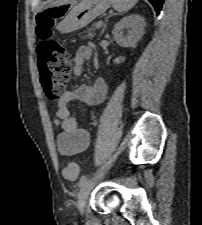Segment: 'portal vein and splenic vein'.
Listing matches in <instances>:
<instances>
[{
	"label": "portal vein and splenic vein",
	"mask_w": 202,
	"mask_h": 225,
	"mask_svg": "<svg viewBox=\"0 0 202 225\" xmlns=\"http://www.w3.org/2000/svg\"><path fill=\"white\" fill-rule=\"evenodd\" d=\"M103 25V21H98L96 23V28H100Z\"/></svg>",
	"instance_id": "1"
}]
</instances>
